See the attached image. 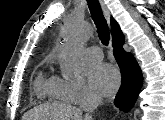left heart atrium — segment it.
I'll use <instances>...</instances> for the list:
<instances>
[{
	"instance_id": "obj_1",
	"label": "left heart atrium",
	"mask_w": 165,
	"mask_h": 120,
	"mask_svg": "<svg viewBox=\"0 0 165 120\" xmlns=\"http://www.w3.org/2000/svg\"><path fill=\"white\" fill-rule=\"evenodd\" d=\"M88 80L92 89L100 95H110L118 87V71L110 64L98 63L88 69Z\"/></svg>"
}]
</instances>
